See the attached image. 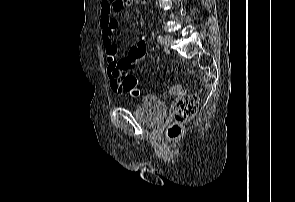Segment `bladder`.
Listing matches in <instances>:
<instances>
[{
  "instance_id": "obj_1",
  "label": "bladder",
  "mask_w": 295,
  "mask_h": 202,
  "mask_svg": "<svg viewBox=\"0 0 295 202\" xmlns=\"http://www.w3.org/2000/svg\"><path fill=\"white\" fill-rule=\"evenodd\" d=\"M134 113L136 118L142 123L155 126L166 118L167 106L159 98L148 95L141 98Z\"/></svg>"
}]
</instances>
